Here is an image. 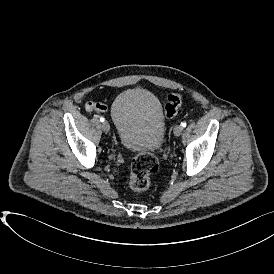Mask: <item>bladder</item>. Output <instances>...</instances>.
Wrapping results in <instances>:
<instances>
[{
	"label": "bladder",
	"mask_w": 274,
	"mask_h": 274,
	"mask_svg": "<svg viewBox=\"0 0 274 274\" xmlns=\"http://www.w3.org/2000/svg\"><path fill=\"white\" fill-rule=\"evenodd\" d=\"M120 144L127 150H158L165 133V118L158 98L150 91L133 88L121 92L111 108Z\"/></svg>",
	"instance_id": "1"
}]
</instances>
